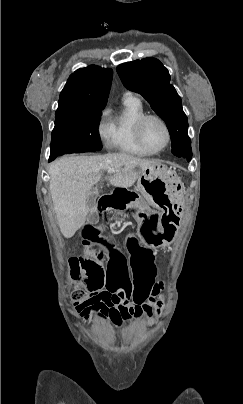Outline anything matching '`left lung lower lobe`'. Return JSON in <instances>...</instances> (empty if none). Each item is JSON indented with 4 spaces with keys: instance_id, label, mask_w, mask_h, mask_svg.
<instances>
[{
    "instance_id": "0a47b994",
    "label": "left lung lower lobe",
    "mask_w": 243,
    "mask_h": 404,
    "mask_svg": "<svg viewBox=\"0 0 243 404\" xmlns=\"http://www.w3.org/2000/svg\"><path fill=\"white\" fill-rule=\"evenodd\" d=\"M177 157L184 158V159H186L188 162H190V161H191V158H192V156H177Z\"/></svg>"
}]
</instances>
